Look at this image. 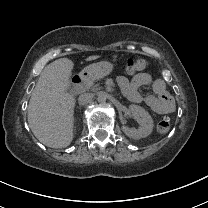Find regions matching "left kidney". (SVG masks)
<instances>
[{
  "label": "left kidney",
  "instance_id": "1",
  "mask_svg": "<svg viewBox=\"0 0 208 208\" xmlns=\"http://www.w3.org/2000/svg\"><path fill=\"white\" fill-rule=\"evenodd\" d=\"M129 111L132 117L137 119L139 129H130L127 126H122L123 133L132 139H140L149 136L152 133L154 123L152 117L142 107L137 105H130Z\"/></svg>",
  "mask_w": 208,
  "mask_h": 208
}]
</instances>
